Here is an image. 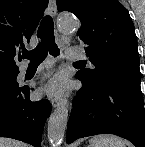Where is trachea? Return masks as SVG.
Listing matches in <instances>:
<instances>
[{
  "label": "trachea",
  "mask_w": 145,
  "mask_h": 147,
  "mask_svg": "<svg viewBox=\"0 0 145 147\" xmlns=\"http://www.w3.org/2000/svg\"><path fill=\"white\" fill-rule=\"evenodd\" d=\"M37 37L41 42L32 51H23V58L30 60V65H39L42 63L49 52L50 55L56 57L60 51L55 43L54 23L50 16H45L38 28Z\"/></svg>",
  "instance_id": "trachea-1"
}]
</instances>
